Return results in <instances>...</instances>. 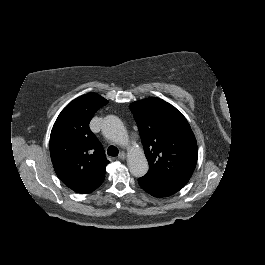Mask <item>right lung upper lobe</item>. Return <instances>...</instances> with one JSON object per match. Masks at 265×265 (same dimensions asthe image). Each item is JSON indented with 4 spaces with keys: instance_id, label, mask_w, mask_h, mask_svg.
I'll list each match as a JSON object with an SVG mask.
<instances>
[{
    "instance_id": "obj_1",
    "label": "right lung upper lobe",
    "mask_w": 265,
    "mask_h": 265,
    "mask_svg": "<svg viewBox=\"0 0 265 265\" xmlns=\"http://www.w3.org/2000/svg\"><path fill=\"white\" fill-rule=\"evenodd\" d=\"M107 103L96 93L80 96L62 110L52 128L50 155L54 170L75 192L90 193L104 181L109 161L89 122Z\"/></svg>"
}]
</instances>
